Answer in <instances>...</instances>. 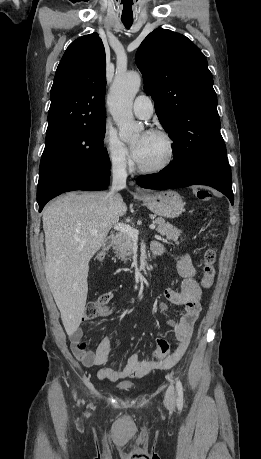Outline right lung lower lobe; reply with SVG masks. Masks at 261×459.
Returning a JSON list of instances; mask_svg holds the SVG:
<instances>
[{
  "label": "right lung lower lobe",
  "mask_w": 261,
  "mask_h": 459,
  "mask_svg": "<svg viewBox=\"0 0 261 459\" xmlns=\"http://www.w3.org/2000/svg\"><path fill=\"white\" fill-rule=\"evenodd\" d=\"M110 171L82 169L55 179L42 192L37 193L39 212L57 195L73 190H104L109 185Z\"/></svg>",
  "instance_id": "98d812e1"
}]
</instances>
